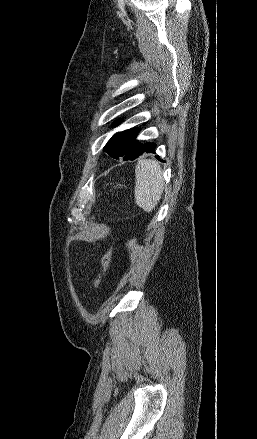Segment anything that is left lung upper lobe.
I'll return each instance as SVG.
<instances>
[{"instance_id": "1", "label": "left lung upper lobe", "mask_w": 257, "mask_h": 439, "mask_svg": "<svg viewBox=\"0 0 257 439\" xmlns=\"http://www.w3.org/2000/svg\"><path fill=\"white\" fill-rule=\"evenodd\" d=\"M117 122H121V120H118ZM139 130L140 129L138 128H132L116 133L104 147V152L116 159L129 155L139 142L136 140Z\"/></svg>"}]
</instances>
